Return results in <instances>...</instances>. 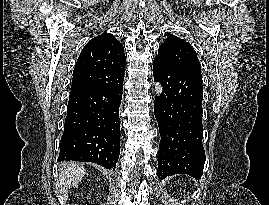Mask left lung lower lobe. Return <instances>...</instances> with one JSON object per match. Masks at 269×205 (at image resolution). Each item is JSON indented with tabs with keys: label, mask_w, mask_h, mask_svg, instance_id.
I'll return each mask as SVG.
<instances>
[{
	"label": "left lung lower lobe",
	"mask_w": 269,
	"mask_h": 205,
	"mask_svg": "<svg viewBox=\"0 0 269 205\" xmlns=\"http://www.w3.org/2000/svg\"><path fill=\"white\" fill-rule=\"evenodd\" d=\"M153 75L163 87L154 103L161 136L158 177L187 174L199 180L206 158L202 145L201 73L174 68L155 57Z\"/></svg>",
	"instance_id": "0a47b994"
}]
</instances>
